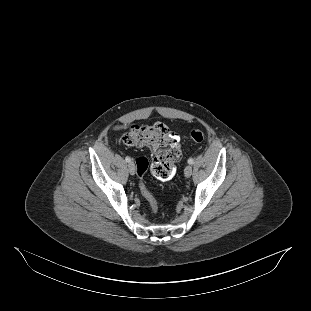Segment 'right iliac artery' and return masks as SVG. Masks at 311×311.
I'll use <instances>...</instances> for the list:
<instances>
[{
  "instance_id": "obj_1",
  "label": "right iliac artery",
  "mask_w": 311,
  "mask_h": 311,
  "mask_svg": "<svg viewBox=\"0 0 311 311\" xmlns=\"http://www.w3.org/2000/svg\"><path fill=\"white\" fill-rule=\"evenodd\" d=\"M125 161H126V162H131V158H130V157H126V158H125Z\"/></svg>"
}]
</instances>
